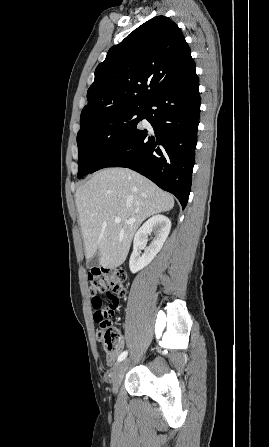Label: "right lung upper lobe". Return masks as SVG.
Wrapping results in <instances>:
<instances>
[{
  "instance_id": "right-lung-upper-lobe-1",
  "label": "right lung upper lobe",
  "mask_w": 269,
  "mask_h": 447,
  "mask_svg": "<svg viewBox=\"0 0 269 447\" xmlns=\"http://www.w3.org/2000/svg\"><path fill=\"white\" fill-rule=\"evenodd\" d=\"M190 53L172 20L165 16L148 20L113 46L97 66L80 124L121 107L144 104L186 70L193 62Z\"/></svg>"
}]
</instances>
